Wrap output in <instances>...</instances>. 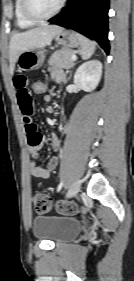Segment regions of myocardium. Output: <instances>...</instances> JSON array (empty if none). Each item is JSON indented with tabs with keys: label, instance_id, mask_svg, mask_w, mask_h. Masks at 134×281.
<instances>
[{
	"label": "myocardium",
	"instance_id": "obj_1",
	"mask_svg": "<svg viewBox=\"0 0 134 281\" xmlns=\"http://www.w3.org/2000/svg\"><path fill=\"white\" fill-rule=\"evenodd\" d=\"M66 1L67 0H60L58 6L52 12H50L48 14H40L33 8L32 0H22V10H23L24 14L26 15V17H28L29 19H31L35 22H41V21L51 19L54 16H56L57 14H59L60 11L65 6Z\"/></svg>",
	"mask_w": 134,
	"mask_h": 281
}]
</instances>
